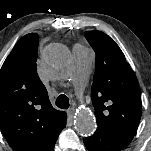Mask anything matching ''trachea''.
<instances>
[{
    "label": "trachea",
    "mask_w": 151,
    "mask_h": 151,
    "mask_svg": "<svg viewBox=\"0 0 151 151\" xmlns=\"http://www.w3.org/2000/svg\"><path fill=\"white\" fill-rule=\"evenodd\" d=\"M56 106L61 109H68L69 108V99L66 95L61 94L56 99Z\"/></svg>",
    "instance_id": "1"
}]
</instances>
